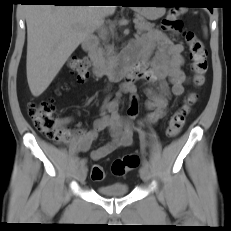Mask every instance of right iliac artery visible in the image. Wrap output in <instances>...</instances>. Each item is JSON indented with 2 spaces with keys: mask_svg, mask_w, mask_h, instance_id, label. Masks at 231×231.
<instances>
[{
  "mask_svg": "<svg viewBox=\"0 0 231 231\" xmlns=\"http://www.w3.org/2000/svg\"><path fill=\"white\" fill-rule=\"evenodd\" d=\"M109 99H110V97H108V98L105 100L104 105H103V110H104V108H105L107 102L109 101ZM86 161H87L86 159H82V160L80 161L79 165H80L81 167H83V166L86 164Z\"/></svg>",
  "mask_w": 231,
  "mask_h": 231,
  "instance_id": "82829eb1",
  "label": "right iliac artery"
}]
</instances>
